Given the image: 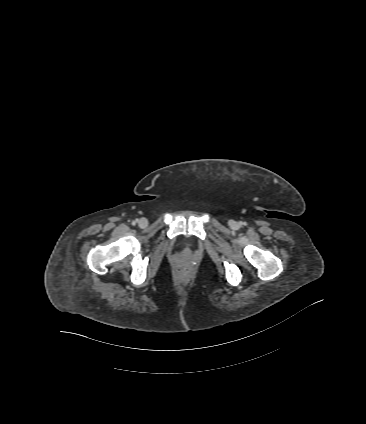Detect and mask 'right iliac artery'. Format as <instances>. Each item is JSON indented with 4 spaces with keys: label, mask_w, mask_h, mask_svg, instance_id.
Segmentation results:
<instances>
[{
    "label": "right iliac artery",
    "mask_w": 366,
    "mask_h": 424,
    "mask_svg": "<svg viewBox=\"0 0 366 424\" xmlns=\"http://www.w3.org/2000/svg\"><path fill=\"white\" fill-rule=\"evenodd\" d=\"M137 222H138V220H134V221L132 222V224H133V225H135Z\"/></svg>",
    "instance_id": "obj_1"
}]
</instances>
